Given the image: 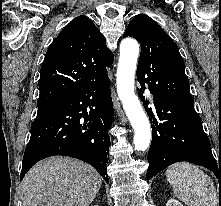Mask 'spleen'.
<instances>
[{
  "label": "spleen",
  "instance_id": "3e777b00",
  "mask_svg": "<svg viewBox=\"0 0 221 206\" xmlns=\"http://www.w3.org/2000/svg\"><path fill=\"white\" fill-rule=\"evenodd\" d=\"M174 194L187 206H217L214 183L199 167L186 162L171 165L166 170Z\"/></svg>",
  "mask_w": 221,
  "mask_h": 206
}]
</instances>
